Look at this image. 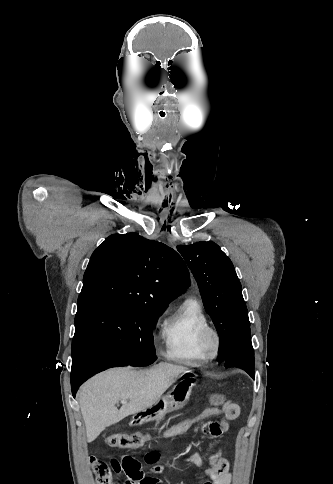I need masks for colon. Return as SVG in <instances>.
Instances as JSON below:
<instances>
[{"instance_id":"obj_1","label":"colon","mask_w":333,"mask_h":484,"mask_svg":"<svg viewBox=\"0 0 333 484\" xmlns=\"http://www.w3.org/2000/svg\"><path fill=\"white\" fill-rule=\"evenodd\" d=\"M219 414L218 408L208 407L201 412L185 417L171 426H169L160 437L163 439H174L185 435L192 431L199 425L206 423L212 417ZM151 440L150 436L134 433V434H111L106 438V443L111 447L116 448H129L139 447L146 444ZM91 463L94 468L97 484H112L111 473L109 467L102 461L97 459H91Z\"/></svg>"}]
</instances>
